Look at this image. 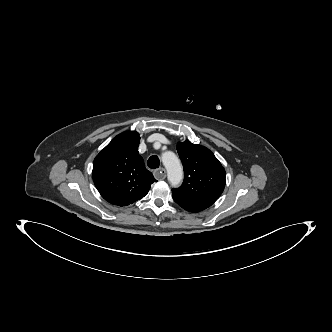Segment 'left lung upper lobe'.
<instances>
[{
  "mask_svg": "<svg viewBox=\"0 0 332 332\" xmlns=\"http://www.w3.org/2000/svg\"><path fill=\"white\" fill-rule=\"evenodd\" d=\"M177 152L185 178L181 187L172 189L173 199L189 212L205 210L223 192L225 170L209 149L190 141L179 142Z\"/></svg>",
  "mask_w": 332,
  "mask_h": 332,
  "instance_id": "left-lung-upper-lobe-1",
  "label": "left lung upper lobe"
}]
</instances>
